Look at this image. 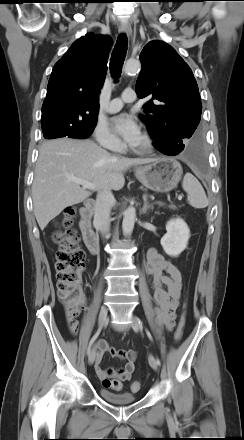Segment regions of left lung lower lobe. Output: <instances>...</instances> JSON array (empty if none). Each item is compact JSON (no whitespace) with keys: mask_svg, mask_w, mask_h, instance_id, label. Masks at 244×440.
Here are the masks:
<instances>
[{"mask_svg":"<svg viewBox=\"0 0 244 440\" xmlns=\"http://www.w3.org/2000/svg\"><path fill=\"white\" fill-rule=\"evenodd\" d=\"M156 150L165 154V155H177L180 152L184 151L186 153L187 158L201 171L205 169L204 158L199 150V144L194 143L191 145H184L180 147V149L173 148L168 151H163L155 147Z\"/></svg>","mask_w":244,"mask_h":440,"instance_id":"left-lung-lower-lobe-1","label":"left lung lower lobe"}]
</instances>
